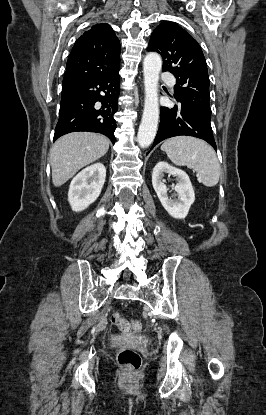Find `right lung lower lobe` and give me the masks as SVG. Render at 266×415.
<instances>
[{
    "label": "right lung lower lobe",
    "mask_w": 266,
    "mask_h": 415,
    "mask_svg": "<svg viewBox=\"0 0 266 415\" xmlns=\"http://www.w3.org/2000/svg\"><path fill=\"white\" fill-rule=\"evenodd\" d=\"M119 80L117 69L110 74L63 87L54 141L70 132L89 131L106 135L114 144Z\"/></svg>",
    "instance_id": "obj_1"
}]
</instances>
